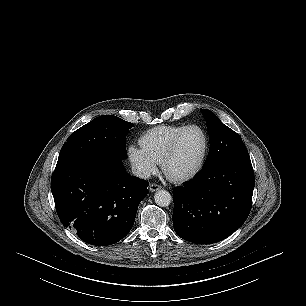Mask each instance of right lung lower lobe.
<instances>
[{
  "label": "right lung lower lobe",
  "mask_w": 306,
  "mask_h": 306,
  "mask_svg": "<svg viewBox=\"0 0 306 306\" xmlns=\"http://www.w3.org/2000/svg\"><path fill=\"white\" fill-rule=\"evenodd\" d=\"M148 182L119 158H83L55 169L51 191L58 217L84 242L107 246L131 230Z\"/></svg>",
  "instance_id": "98d812e1"
}]
</instances>
